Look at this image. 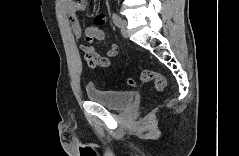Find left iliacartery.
<instances>
[{
    "label": "left iliac artery",
    "instance_id": "left-iliac-artery-1",
    "mask_svg": "<svg viewBox=\"0 0 239 156\" xmlns=\"http://www.w3.org/2000/svg\"><path fill=\"white\" fill-rule=\"evenodd\" d=\"M112 20L116 26H118V27L120 26L121 18L115 12L112 13Z\"/></svg>",
    "mask_w": 239,
    "mask_h": 156
}]
</instances>
